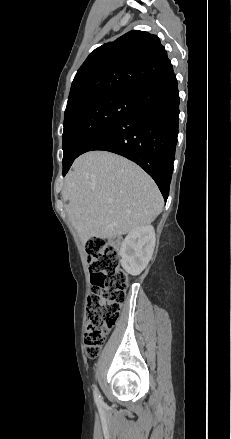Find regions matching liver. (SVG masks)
I'll return each instance as SVG.
<instances>
[{
    "instance_id": "1",
    "label": "liver",
    "mask_w": 231,
    "mask_h": 439,
    "mask_svg": "<svg viewBox=\"0 0 231 439\" xmlns=\"http://www.w3.org/2000/svg\"><path fill=\"white\" fill-rule=\"evenodd\" d=\"M66 211L80 239H109L153 222L163 197L139 166L106 151L78 157L64 181Z\"/></svg>"
}]
</instances>
